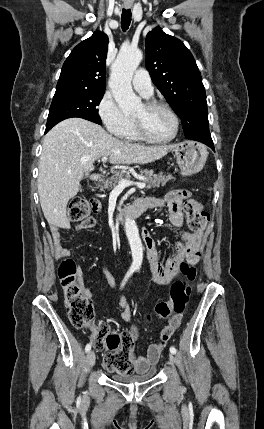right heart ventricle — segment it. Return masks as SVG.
Wrapping results in <instances>:
<instances>
[{
    "label": "right heart ventricle",
    "mask_w": 264,
    "mask_h": 429,
    "mask_svg": "<svg viewBox=\"0 0 264 429\" xmlns=\"http://www.w3.org/2000/svg\"><path fill=\"white\" fill-rule=\"evenodd\" d=\"M127 141H139L140 137L138 136L134 121L131 119V124L126 132L121 136Z\"/></svg>",
    "instance_id": "right-heart-ventricle-1"
}]
</instances>
